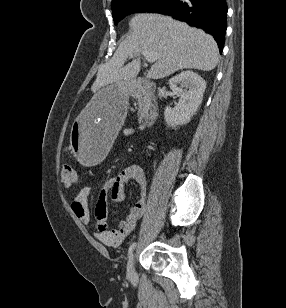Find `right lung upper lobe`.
I'll use <instances>...</instances> for the list:
<instances>
[{
    "label": "right lung upper lobe",
    "instance_id": "1",
    "mask_svg": "<svg viewBox=\"0 0 286 308\" xmlns=\"http://www.w3.org/2000/svg\"><path fill=\"white\" fill-rule=\"evenodd\" d=\"M119 0H112V5H114Z\"/></svg>",
    "mask_w": 286,
    "mask_h": 308
}]
</instances>
